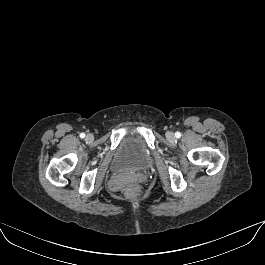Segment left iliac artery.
Returning <instances> with one entry per match:
<instances>
[{
    "label": "left iliac artery",
    "instance_id": "1",
    "mask_svg": "<svg viewBox=\"0 0 265 265\" xmlns=\"http://www.w3.org/2000/svg\"><path fill=\"white\" fill-rule=\"evenodd\" d=\"M175 137H176V138H180V137H181V133H180V132H176V133H175Z\"/></svg>",
    "mask_w": 265,
    "mask_h": 265
}]
</instances>
